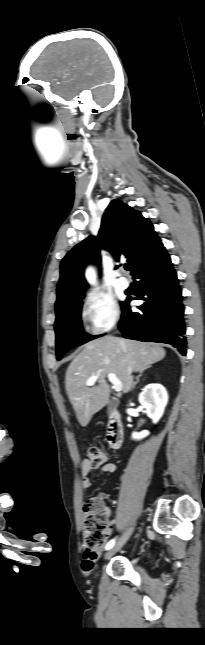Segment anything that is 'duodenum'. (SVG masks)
<instances>
[{"instance_id": "410a0bca", "label": "duodenum", "mask_w": 205, "mask_h": 645, "mask_svg": "<svg viewBox=\"0 0 205 645\" xmlns=\"http://www.w3.org/2000/svg\"><path fill=\"white\" fill-rule=\"evenodd\" d=\"M107 442L112 449L121 447L124 438V429L120 414L113 410L109 415L107 426Z\"/></svg>"}]
</instances>
